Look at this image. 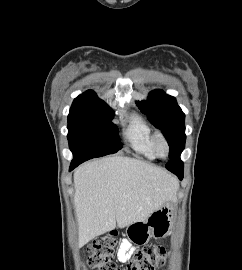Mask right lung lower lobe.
<instances>
[{"mask_svg": "<svg viewBox=\"0 0 242 270\" xmlns=\"http://www.w3.org/2000/svg\"><path fill=\"white\" fill-rule=\"evenodd\" d=\"M79 164H81V163H79V162H77V163H71V165H70V171L73 170L75 167H77Z\"/></svg>", "mask_w": 242, "mask_h": 270, "instance_id": "obj_1", "label": "right lung lower lobe"}]
</instances>
